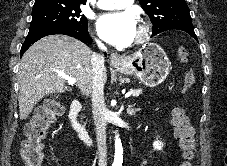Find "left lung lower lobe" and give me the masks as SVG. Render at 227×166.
<instances>
[{"label":"left lung lower lobe","mask_w":227,"mask_h":166,"mask_svg":"<svg viewBox=\"0 0 227 166\" xmlns=\"http://www.w3.org/2000/svg\"><path fill=\"white\" fill-rule=\"evenodd\" d=\"M187 32L189 35H191L195 40H197V36L195 35L194 29L192 30H187L185 31ZM198 41V40H197Z\"/></svg>","instance_id":"0a47b994"}]
</instances>
